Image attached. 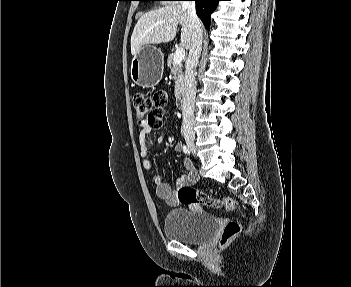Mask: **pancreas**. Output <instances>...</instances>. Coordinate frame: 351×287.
<instances>
[{
	"mask_svg": "<svg viewBox=\"0 0 351 287\" xmlns=\"http://www.w3.org/2000/svg\"><path fill=\"white\" fill-rule=\"evenodd\" d=\"M174 54H170L167 59V66L170 68L171 73L175 81V95L178 96L184 86L183 83V73H182V64L174 63Z\"/></svg>",
	"mask_w": 351,
	"mask_h": 287,
	"instance_id": "cf45deb5",
	"label": "pancreas"
}]
</instances>
